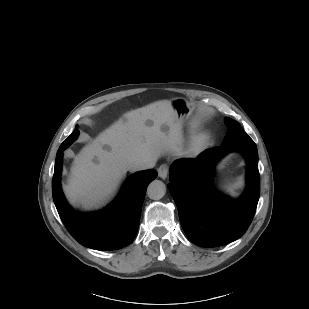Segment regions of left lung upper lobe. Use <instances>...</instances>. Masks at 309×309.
I'll return each mask as SVG.
<instances>
[{"instance_id":"5c2ea615","label":"left lung upper lobe","mask_w":309,"mask_h":309,"mask_svg":"<svg viewBox=\"0 0 309 309\" xmlns=\"http://www.w3.org/2000/svg\"><path fill=\"white\" fill-rule=\"evenodd\" d=\"M226 122L229 130L222 145H231L237 142L252 140L238 122L228 117H226Z\"/></svg>"}]
</instances>
